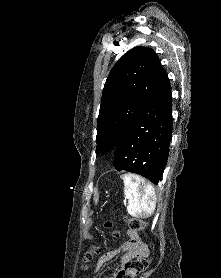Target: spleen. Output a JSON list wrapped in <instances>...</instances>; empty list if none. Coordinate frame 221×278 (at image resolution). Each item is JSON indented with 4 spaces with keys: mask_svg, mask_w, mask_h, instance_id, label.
Listing matches in <instances>:
<instances>
[{
    "mask_svg": "<svg viewBox=\"0 0 221 278\" xmlns=\"http://www.w3.org/2000/svg\"><path fill=\"white\" fill-rule=\"evenodd\" d=\"M124 195L128 198L127 212L135 218L150 217L156 207L153 186L134 174L122 175Z\"/></svg>",
    "mask_w": 221,
    "mask_h": 278,
    "instance_id": "obj_1",
    "label": "spleen"
}]
</instances>
